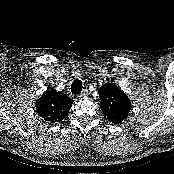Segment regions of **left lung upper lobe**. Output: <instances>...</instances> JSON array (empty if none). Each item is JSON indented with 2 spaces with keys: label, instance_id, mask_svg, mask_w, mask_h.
<instances>
[{
  "label": "left lung upper lobe",
  "instance_id": "left-lung-upper-lobe-1",
  "mask_svg": "<svg viewBox=\"0 0 174 174\" xmlns=\"http://www.w3.org/2000/svg\"><path fill=\"white\" fill-rule=\"evenodd\" d=\"M100 107L114 124L121 123L128 116L131 102L128 96L114 83H106L99 89Z\"/></svg>",
  "mask_w": 174,
  "mask_h": 174
}]
</instances>
